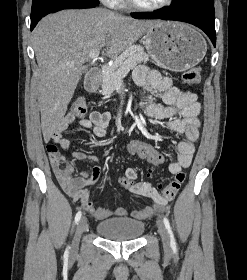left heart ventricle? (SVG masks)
Returning a JSON list of instances; mask_svg holds the SVG:
<instances>
[{
	"instance_id": "b2bd125f",
	"label": "left heart ventricle",
	"mask_w": 247,
	"mask_h": 280,
	"mask_svg": "<svg viewBox=\"0 0 247 280\" xmlns=\"http://www.w3.org/2000/svg\"><path fill=\"white\" fill-rule=\"evenodd\" d=\"M137 2H139L140 4L143 5H155L158 4L160 2H162L163 0H136Z\"/></svg>"
}]
</instances>
